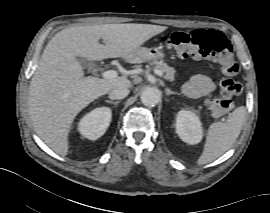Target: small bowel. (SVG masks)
Listing matches in <instances>:
<instances>
[{"label":"small bowel","instance_id":"c3829d8e","mask_svg":"<svg viewBox=\"0 0 270 213\" xmlns=\"http://www.w3.org/2000/svg\"><path fill=\"white\" fill-rule=\"evenodd\" d=\"M214 89L212 80L205 75H195L183 86L184 93L191 98H199L211 93Z\"/></svg>","mask_w":270,"mask_h":213}]
</instances>
